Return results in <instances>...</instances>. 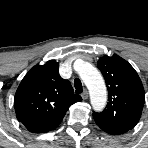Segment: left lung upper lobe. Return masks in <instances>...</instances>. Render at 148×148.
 <instances>
[{"label":"left lung upper lobe","mask_w":148,"mask_h":148,"mask_svg":"<svg viewBox=\"0 0 148 148\" xmlns=\"http://www.w3.org/2000/svg\"><path fill=\"white\" fill-rule=\"evenodd\" d=\"M108 89V104L93 118L100 128L125 133L138 123L144 106L145 92L135 69L118 55L104 56L97 62Z\"/></svg>","instance_id":"1"}]
</instances>
